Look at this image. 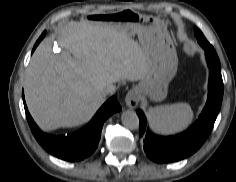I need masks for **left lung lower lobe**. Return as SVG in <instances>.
Listing matches in <instances>:
<instances>
[{"instance_id":"0a47b994","label":"left lung lower lobe","mask_w":236,"mask_h":182,"mask_svg":"<svg viewBox=\"0 0 236 182\" xmlns=\"http://www.w3.org/2000/svg\"><path fill=\"white\" fill-rule=\"evenodd\" d=\"M208 99L199 119L184 133L161 137L147 128V120L141 110L140 134H144V151L149 159L157 163L182 160L196 152L209 136L220 111L224 85L221 69L209 67Z\"/></svg>"}]
</instances>
